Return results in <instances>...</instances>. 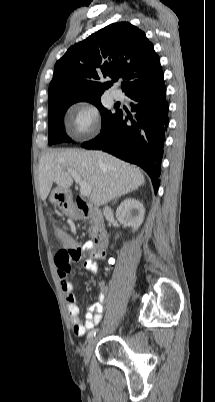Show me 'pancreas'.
Masks as SVG:
<instances>
[{
    "instance_id": "pancreas-1",
    "label": "pancreas",
    "mask_w": 215,
    "mask_h": 402,
    "mask_svg": "<svg viewBox=\"0 0 215 402\" xmlns=\"http://www.w3.org/2000/svg\"><path fill=\"white\" fill-rule=\"evenodd\" d=\"M89 224H90V227L88 230L89 235L91 238H94V237H96V235L98 233V225H97L96 221L93 219L89 221Z\"/></svg>"
}]
</instances>
